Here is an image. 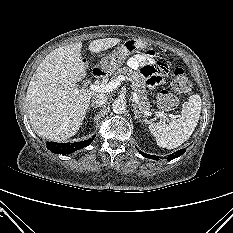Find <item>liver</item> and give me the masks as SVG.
<instances>
[{
	"instance_id": "6515ba94",
	"label": "liver",
	"mask_w": 233,
	"mask_h": 233,
	"mask_svg": "<svg viewBox=\"0 0 233 233\" xmlns=\"http://www.w3.org/2000/svg\"><path fill=\"white\" fill-rule=\"evenodd\" d=\"M119 38L97 39L91 53L117 45ZM82 42L50 52L37 67L27 89L28 118L36 133L49 140L63 141L74 136L82 125L94 91L79 89L76 83L86 76Z\"/></svg>"
}]
</instances>
